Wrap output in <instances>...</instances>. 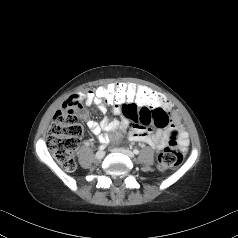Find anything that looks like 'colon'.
Returning <instances> with one entry per match:
<instances>
[{
  "mask_svg": "<svg viewBox=\"0 0 238 238\" xmlns=\"http://www.w3.org/2000/svg\"><path fill=\"white\" fill-rule=\"evenodd\" d=\"M96 96L105 104L135 105L142 108L139 121L144 125L153 123L150 110L166 106V95L158 93L151 86H140L133 83L101 82L96 87ZM78 101L69 99L59 110L49 128L47 145L56 161L67 171L76 168L74 152L79 145L82 132L78 123L76 109ZM134 117L131 112H127ZM182 154L178 148L177 132L172 131L168 145L158 156V168L167 170L179 165Z\"/></svg>",
  "mask_w": 238,
  "mask_h": 238,
  "instance_id": "5ec220e1",
  "label": "colon"
}]
</instances>
